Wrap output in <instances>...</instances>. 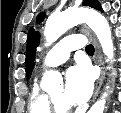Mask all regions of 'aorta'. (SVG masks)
<instances>
[{
	"instance_id": "aorta-1",
	"label": "aorta",
	"mask_w": 121,
	"mask_h": 113,
	"mask_svg": "<svg viewBox=\"0 0 121 113\" xmlns=\"http://www.w3.org/2000/svg\"><path fill=\"white\" fill-rule=\"evenodd\" d=\"M79 23H86L94 31L101 44L103 53L108 60H111L114 56V50L110 26L105 17L93 9H69L62 13L52 14L47 19L44 29L46 44L53 43L68 29ZM59 79L61 77L57 72L47 71L42 78V87L47 90ZM106 97L107 93H104L101 99L90 108L89 113H103Z\"/></svg>"
}]
</instances>
